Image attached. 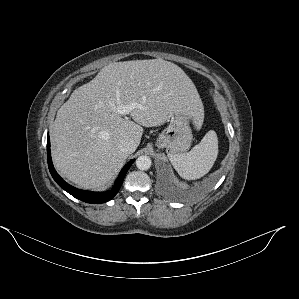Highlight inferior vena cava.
<instances>
[{
    "instance_id": "1",
    "label": "inferior vena cava",
    "mask_w": 299,
    "mask_h": 299,
    "mask_svg": "<svg viewBox=\"0 0 299 299\" xmlns=\"http://www.w3.org/2000/svg\"><path fill=\"white\" fill-rule=\"evenodd\" d=\"M119 147L122 152L126 154H131L136 150L137 145L132 139H124L120 142Z\"/></svg>"
}]
</instances>
